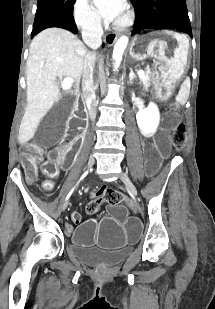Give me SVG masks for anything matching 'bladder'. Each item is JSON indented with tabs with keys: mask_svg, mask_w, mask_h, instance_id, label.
<instances>
[{
	"mask_svg": "<svg viewBox=\"0 0 215 309\" xmlns=\"http://www.w3.org/2000/svg\"><path fill=\"white\" fill-rule=\"evenodd\" d=\"M77 259L90 267L109 268L120 264L128 255L127 249L103 252V251H79L74 250Z\"/></svg>",
	"mask_w": 215,
	"mask_h": 309,
	"instance_id": "31cf9c89",
	"label": "bladder"
}]
</instances>
